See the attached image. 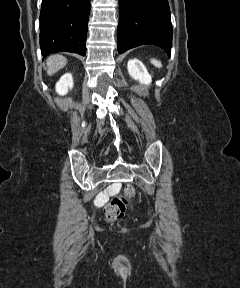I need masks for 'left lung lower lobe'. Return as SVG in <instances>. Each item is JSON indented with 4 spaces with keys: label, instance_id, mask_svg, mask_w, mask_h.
<instances>
[{
    "label": "left lung lower lobe",
    "instance_id": "obj_1",
    "mask_svg": "<svg viewBox=\"0 0 240 288\" xmlns=\"http://www.w3.org/2000/svg\"><path fill=\"white\" fill-rule=\"evenodd\" d=\"M117 50L120 54L144 44L164 49L172 45V24L167 0H119Z\"/></svg>",
    "mask_w": 240,
    "mask_h": 288
}]
</instances>
